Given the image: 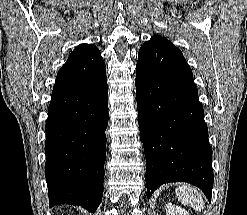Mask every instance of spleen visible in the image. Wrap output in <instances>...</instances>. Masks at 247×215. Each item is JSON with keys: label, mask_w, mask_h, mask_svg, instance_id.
Listing matches in <instances>:
<instances>
[{"label": "spleen", "mask_w": 247, "mask_h": 215, "mask_svg": "<svg viewBox=\"0 0 247 215\" xmlns=\"http://www.w3.org/2000/svg\"><path fill=\"white\" fill-rule=\"evenodd\" d=\"M178 200L184 205H190L196 211L201 212L204 208L202 194L196 188L182 184L176 189Z\"/></svg>", "instance_id": "3e777b00"}]
</instances>
